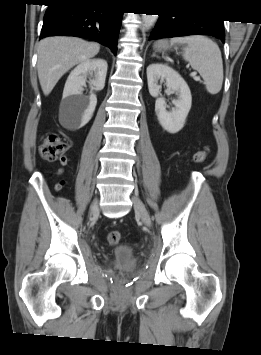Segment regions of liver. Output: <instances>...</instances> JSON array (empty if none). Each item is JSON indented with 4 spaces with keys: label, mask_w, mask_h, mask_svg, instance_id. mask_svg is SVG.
<instances>
[{
    "label": "liver",
    "mask_w": 261,
    "mask_h": 355,
    "mask_svg": "<svg viewBox=\"0 0 261 355\" xmlns=\"http://www.w3.org/2000/svg\"><path fill=\"white\" fill-rule=\"evenodd\" d=\"M100 45L76 37H48L38 45L37 70L44 95L75 65L98 54Z\"/></svg>",
    "instance_id": "liver-1"
}]
</instances>
